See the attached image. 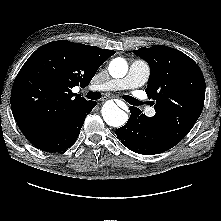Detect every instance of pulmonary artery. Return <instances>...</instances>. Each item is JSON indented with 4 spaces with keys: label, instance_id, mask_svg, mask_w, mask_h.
I'll list each match as a JSON object with an SVG mask.
<instances>
[{
    "label": "pulmonary artery",
    "instance_id": "obj_1",
    "mask_svg": "<svg viewBox=\"0 0 221 221\" xmlns=\"http://www.w3.org/2000/svg\"><path fill=\"white\" fill-rule=\"evenodd\" d=\"M150 68L148 64L142 60H135L130 65L127 75L121 79L110 80L102 86L96 88L98 90H123L134 89L142 86L149 78ZM148 116L155 114L154 109L147 110Z\"/></svg>",
    "mask_w": 221,
    "mask_h": 221
}]
</instances>
